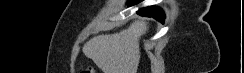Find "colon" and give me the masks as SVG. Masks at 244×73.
<instances>
[{
    "instance_id": "1",
    "label": "colon",
    "mask_w": 244,
    "mask_h": 73,
    "mask_svg": "<svg viewBox=\"0 0 244 73\" xmlns=\"http://www.w3.org/2000/svg\"><path fill=\"white\" fill-rule=\"evenodd\" d=\"M81 73H94V70L91 67L82 69Z\"/></svg>"
}]
</instances>
